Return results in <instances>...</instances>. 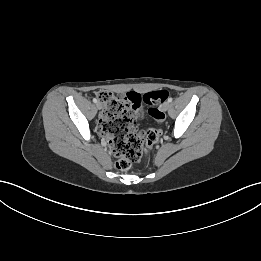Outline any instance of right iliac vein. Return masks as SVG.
Here are the masks:
<instances>
[{"instance_id":"obj_1","label":"right iliac vein","mask_w":261,"mask_h":261,"mask_svg":"<svg viewBox=\"0 0 261 261\" xmlns=\"http://www.w3.org/2000/svg\"><path fill=\"white\" fill-rule=\"evenodd\" d=\"M96 106L99 110L102 108V104L100 102H97Z\"/></svg>"}]
</instances>
